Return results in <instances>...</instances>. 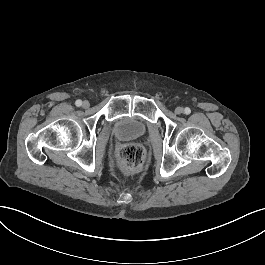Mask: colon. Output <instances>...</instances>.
I'll use <instances>...</instances> for the list:
<instances>
[{
	"instance_id": "obj_1",
	"label": "colon",
	"mask_w": 265,
	"mask_h": 265,
	"mask_svg": "<svg viewBox=\"0 0 265 265\" xmlns=\"http://www.w3.org/2000/svg\"><path fill=\"white\" fill-rule=\"evenodd\" d=\"M119 156L123 167L130 171H140L146 162L143 149L135 144L121 148Z\"/></svg>"
}]
</instances>
